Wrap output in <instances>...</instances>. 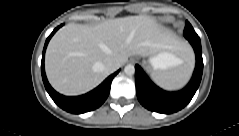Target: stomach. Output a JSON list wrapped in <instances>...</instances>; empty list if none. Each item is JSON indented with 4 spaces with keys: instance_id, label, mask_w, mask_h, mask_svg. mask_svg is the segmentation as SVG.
<instances>
[{
    "instance_id": "0dacf381",
    "label": "stomach",
    "mask_w": 239,
    "mask_h": 136,
    "mask_svg": "<svg viewBox=\"0 0 239 136\" xmlns=\"http://www.w3.org/2000/svg\"><path fill=\"white\" fill-rule=\"evenodd\" d=\"M149 62L154 69H167L181 63V59L168 51H158L149 58Z\"/></svg>"
}]
</instances>
